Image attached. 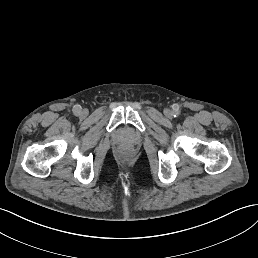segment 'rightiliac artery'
Listing matches in <instances>:
<instances>
[{"label":"right iliac artery","mask_w":258,"mask_h":258,"mask_svg":"<svg viewBox=\"0 0 258 258\" xmlns=\"http://www.w3.org/2000/svg\"><path fill=\"white\" fill-rule=\"evenodd\" d=\"M73 114L75 116H79L81 114V106L80 105H74Z\"/></svg>","instance_id":"1"}]
</instances>
